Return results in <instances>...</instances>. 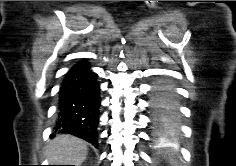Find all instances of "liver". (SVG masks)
<instances>
[{"mask_svg": "<svg viewBox=\"0 0 236 166\" xmlns=\"http://www.w3.org/2000/svg\"><path fill=\"white\" fill-rule=\"evenodd\" d=\"M87 156V146L81 139L71 135H58L47 149V157L54 165L80 166Z\"/></svg>", "mask_w": 236, "mask_h": 166, "instance_id": "obj_1", "label": "liver"}]
</instances>
